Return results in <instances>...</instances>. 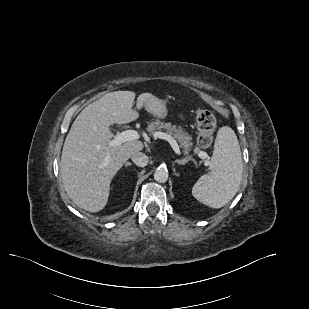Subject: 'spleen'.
<instances>
[{
	"label": "spleen",
	"instance_id": "obj_1",
	"mask_svg": "<svg viewBox=\"0 0 309 309\" xmlns=\"http://www.w3.org/2000/svg\"><path fill=\"white\" fill-rule=\"evenodd\" d=\"M242 173V155L237 136L230 127H221L214 144L210 172L198 179L192 194L211 208H221L238 192Z\"/></svg>",
	"mask_w": 309,
	"mask_h": 309
}]
</instances>
